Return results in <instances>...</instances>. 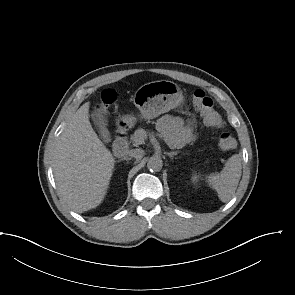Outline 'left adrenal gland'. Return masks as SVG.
<instances>
[{"label": "left adrenal gland", "mask_w": 295, "mask_h": 295, "mask_svg": "<svg viewBox=\"0 0 295 295\" xmlns=\"http://www.w3.org/2000/svg\"><path fill=\"white\" fill-rule=\"evenodd\" d=\"M179 152L178 151H172V152H167L166 154L170 157L173 158L174 155H177Z\"/></svg>", "instance_id": "a2214340"}]
</instances>
